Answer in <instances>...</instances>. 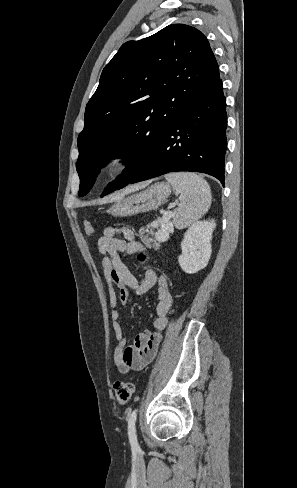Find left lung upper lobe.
I'll use <instances>...</instances> for the list:
<instances>
[{
  "mask_svg": "<svg viewBox=\"0 0 297 488\" xmlns=\"http://www.w3.org/2000/svg\"><path fill=\"white\" fill-rule=\"evenodd\" d=\"M219 78L207 38L191 26L169 25L123 44L86 105L84 129L77 139L79 196L89 192L114 155L131 160L102 196L126 186L181 115Z\"/></svg>",
  "mask_w": 297,
  "mask_h": 488,
  "instance_id": "5c2ea615",
  "label": "left lung upper lobe"
}]
</instances>
